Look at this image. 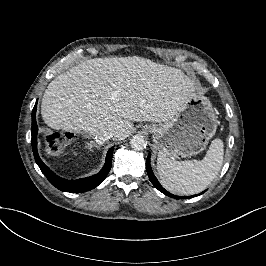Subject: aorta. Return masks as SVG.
Returning a JSON list of instances; mask_svg holds the SVG:
<instances>
[{"mask_svg":"<svg viewBox=\"0 0 266 266\" xmlns=\"http://www.w3.org/2000/svg\"><path fill=\"white\" fill-rule=\"evenodd\" d=\"M130 145L134 150L140 151L146 147L147 143L143 136L135 135L130 140Z\"/></svg>","mask_w":266,"mask_h":266,"instance_id":"aorta-1","label":"aorta"}]
</instances>
